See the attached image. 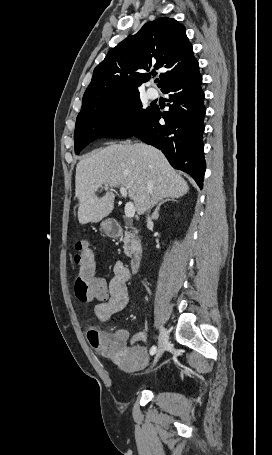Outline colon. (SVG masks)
Returning <instances> with one entry per match:
<instances>
[{"mask_svg": "<svg viewBox=\"0 0 272 455\" xmlns=\"http://www.w3.org/2000/svg\"><path fill=\"white\" fill-rule=\"evenodd\" d=\"M75 262L80 266L81 274L75 282V295L81 301L105 300L108 291L104 278L95 273L96 257L85 241L75 245ZM87 338L92 347L101 351L110 363L121 370L128 365L129 352L126 347L118 342L115 337L102 334L97 329L91 328Z\"/></svg>", "mask_w": 272, "mask_h": 455, "instance_id": "5ec220e1", "label": "colon"}]
</instances>
